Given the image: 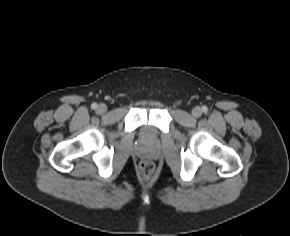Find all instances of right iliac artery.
<instances>
[{"label":"right iliac artery","mask_w":290,"mask_h":236,"mask_svg":"<svg viewBox=\"0 0 290 236\" xmlns=\"http://www.w3.org/2000/svg\"><path fill=\"white\" fill-rule=\"evenodd\" d=\"M91 108H92V109H96V108H97V104H96V103H93V104L91 105Z\"/></svg>","instance_id":"obj_1"}]
</instances>
